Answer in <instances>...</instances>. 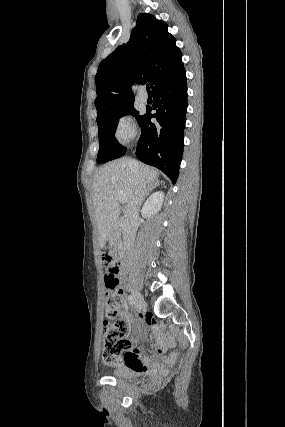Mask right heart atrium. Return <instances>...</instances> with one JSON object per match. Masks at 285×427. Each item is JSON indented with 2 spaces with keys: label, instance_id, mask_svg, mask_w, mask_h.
<instances>
[{
  "label": "right heart atrium",
  "instance_id": "d8ad5b80",
  "mask_svg": "<svg viewBox=\"0 0 285 427\" xmlns=\"http://www.w3.org/2000/svg\"><path fill=\"white\" fill-rule=\"evenodd\" d=\"M135 133L136 126L130 116L127 115L119 118L114 135L120 143H127L134 137Z\"/></svg>",
  "mask_w": 285,
  "mask_h": 427
}]
</instances>
